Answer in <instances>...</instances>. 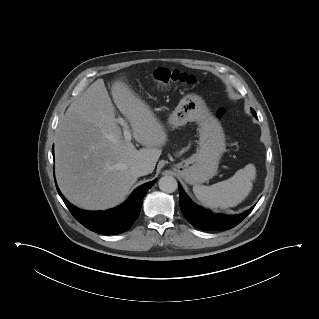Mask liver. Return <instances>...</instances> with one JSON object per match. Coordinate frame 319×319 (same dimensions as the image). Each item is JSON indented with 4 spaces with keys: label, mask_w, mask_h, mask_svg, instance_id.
Wrapping results in <instances>:
<instances>
[{
    "label": "liver",
    "mask_w": 319,
    "mask_h": 319,
    "mask_svg": "<svg viewBox=\"0 0 319 319\" xmlns=\"http://www.w3.org/2000/svg\"><path fill=\"white\" fill-rule=\"evenodd\" d=\"M111 94L142 149L137 150L122 136L103 79L72 102L56 130L58 186L71 203L86 210L120 204L138 178L131 167L147 162L152 173L167 141L163 124L123 78L112 82Z\"/></svg>",
    "instance_id": "liver-1"
}]
</instances>
